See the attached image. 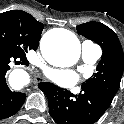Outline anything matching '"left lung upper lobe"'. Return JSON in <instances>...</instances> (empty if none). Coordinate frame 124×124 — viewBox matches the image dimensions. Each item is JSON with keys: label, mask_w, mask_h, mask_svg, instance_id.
<instances>
[{"label": "left lung upper lobe", "mask_w": 124, "mask_h": 124, "mask_svg": "<svg viewBox=\"0 0 124 124\" xmlns=\"http://www.w3.org/2000/svg\"><path fill=\"white\" fill-rule=\"evenodd\" d=\"M79 34L96 42L103 49L97 72L82 84V89L98 93L112 102L120 87L124 71V56L120 41L113 30L100 22H88L76 27Z\"/></svg>", "instance_id": "obj_1"}]
</instances>
